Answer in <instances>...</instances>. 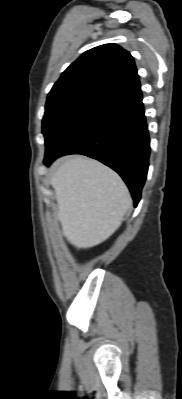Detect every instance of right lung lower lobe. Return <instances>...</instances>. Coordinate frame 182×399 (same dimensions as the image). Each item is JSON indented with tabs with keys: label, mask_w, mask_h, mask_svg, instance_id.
<instances>
[{
	"label": "right lung lower lobe",
	"mask_w": 182,
	"mask_h": 399,
	"mask_svg": "<svg viewBox=\"0 0 182 399\" xmlns=\"http://www.w3.org/2000/svg\"><path fill=\"white\" fill-rule=\"evenodd\" d=\"M67 154H83L111 167L129 187L136 207L146 180L150 139L142 91L111 98L65 130L46 150L44 164Z\"/></svg>",
	"instance_id": "98d812e1"
}]
</instances>
